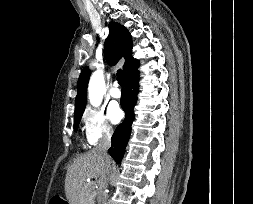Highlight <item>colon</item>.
I'll use <instances>...</instances> for the list:
<instances>
[{
	"mask_svg": "<svg viewBox=\"0 0 253 204\" xmlns=\"http://www.w3.org/2000/svg\"><path fill=\"white\" fill-rule=\"evenodd\" d=\"M50 204H62V198L60 196H54L50 200Z\"/></svg>",
	"mask_w": 253,
	"mask_h": 204,
	"instance_id": "colon-1",
	"label": "colon"
}]
</instances>
